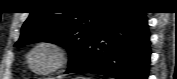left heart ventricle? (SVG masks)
<instances>
[{"label": "left heart ventricle", "instance_id": "obj_1", "mask_svg": "<svg viewBox=\"0 0 177 79\" xmlns=\"http://www.w3.org/2000/svg\"><path fill=\"white\" fill-rule=\"evenodd\" d=\"M56 62V54L50 48H39L31 56V63L37 70H48Z\"/></svg>", "mask_w": 177, "mask_h": 79}]
</instances>
